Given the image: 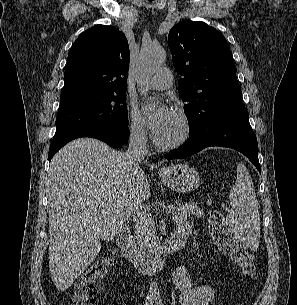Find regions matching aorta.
Returning <instances> with one entry per match:
<instances>
[{
	"label": "aorta",
	"instance_id": "1",
	"mask_svg": "<svg viewBox=\"0 0 297 305\" xmlns=\"http://www.w3.org/2000/svg\"><path fill=\"white\" fill-rule=\"evenodd\" d=\"M166 58L165 50L156 45H150L142 48L137 63V78L140 83V92L146 93L145 80L151 76L164 62ZM149 295L158 297L160 295L157 281H152L149 287Z\"/></svg>",
	"mask_w": 297,
	"mask_h": 305
}]
</instances>
